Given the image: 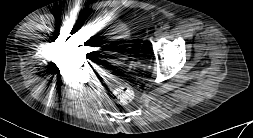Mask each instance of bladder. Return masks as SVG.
I'll return each mask as SVG.
<instances>
[{
	"label": "bladder",
	"instance_id": "obj_1",
	"mask_svg": "<svg viewBox=\"0 0 253 138\" xmlns=\"http://www.w3.org/2000/svg\"><path fill=\"white\" fill-rule=\"evenodd\" d=\"M113 36L117 37V40L115 42L117 45L125 44L128 38L127 30H124L122 28L116 31V33ZM108 48H111V47L109 46Z\"/></svg>",
	"mask_w": 253,
	"mask_h": 138
}]
</instances>
